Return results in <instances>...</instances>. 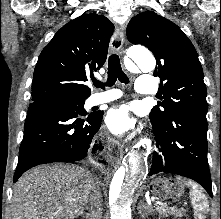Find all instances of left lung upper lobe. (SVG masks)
I'll list each match as a JSON object with an SVG mask.
<instances>
[{"label": "left lung upper lobe", "instance_id": "left-lung-upper-lobe-1", "mask_svg": "<svg viewBox=\"0 0 221 219\" xmlns=\"http://www.w3.org/2000/svg\"><path fill=\"white\" fill-rule=\"evenodd\" d=\"M127 37L149 48L157 60L154 76L160 78L163 102L154 106L150 119L164 123L176 113L207 121V90L197 52L188 37L173 22L153 11L131 19Z\"/></svg>", "mask_w": 221, "mask_h": 219}]
</instances>
